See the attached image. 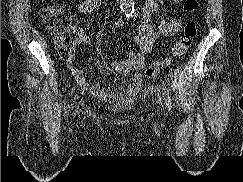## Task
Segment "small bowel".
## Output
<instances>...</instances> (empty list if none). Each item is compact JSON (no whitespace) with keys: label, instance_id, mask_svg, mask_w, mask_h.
Wrapping results in <instances>:
<instances>
[{"label":"small bowel","instance_id":"1","mask_svg":"<svg viewBox=\"0 0 243 182\" xmlns=\"http://www.w3.org/2000/svg\"><path fill=\"white\" fill-rule=\"evenodd\" d=\"M179 3L182 0H172ZM100 7V0H84L78 7L82 14L90 13ZM159 9L158 0H146L141 21L135 27L134 42L137 46L136 51H129L125 57L110 64V69L116 73L129 74L132 71H139L145 65L146 56L153 50L155 44L162 37L176 34L181 26L179 20L163 19L159 22L157 29L149 24V18ZM126 23L123 20H117L113 23L114 28H123ZM89 38L81 34L77 40V47L87 45ZM67 68L73 76L76 83L86 92L96 96L102 101L114 102L121 96L132 97L137 95L143 84V77L136 72L128 86L122 92H109L101 88L98 83L91 82L84 77L82 70L77 66L74 58L66 60Z\"/></svg>","mask_w":243,"mask_h":182}]
</instances>
